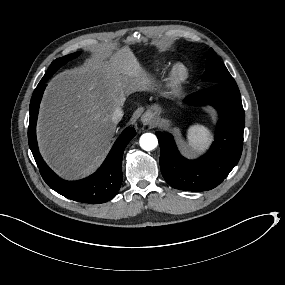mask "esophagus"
Instances as JSON below:
<instances>
[{"label": "esophagus", "instance_id": "1", "mask_svg": "<svg viewBox=\"0 0 285 285\" xmlns=\"http://www.w3.org/2000/svg\"><path fill=\"white\" fill-rule=\"evenodd\" d=\"M142 121L146 125H150V126H154L155 125V122L153 121L151 114H144L142 116Z\"/></svg>", "mask_w": 285, "mask_h": 285}]
</instances>
